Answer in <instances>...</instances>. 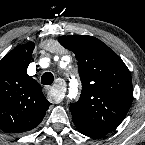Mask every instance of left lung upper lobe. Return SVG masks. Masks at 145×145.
Returning a JSON list of instances; mask_svg holds the SVG:
<instances>
[{"label": "left lung upper lobe", "instance_id": "5c2ea615", "mask_svg": "<svg viewBox=\"0 0 145 145\" xmlns=\"http://www.w3.org/2000/svg\"><path fill=\"white\" fill-rule=\"evenodd\" d=\"M58 41L78 60L82 93L78 102L70 104L75 126L106 135L123 121L132 103L127 66L92 36H61Z\"/></svg>", "mask_w": 145, "mask_h": 145}]
</instances>
